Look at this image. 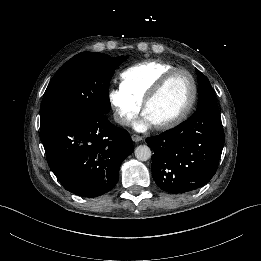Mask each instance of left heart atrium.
<instances>
[{"label":"left heart atrium","instance_id":"left-heart-atrium-1","mask_svg":"<svg viewBox=\"0 0 261 261\" xmlns=\"http://www.w3.org/2000/svg\"><path fill=\"white\" fill-rule=\"evenodd\" d=\"M151 124H153V123L151 122V120L144 114L142 120L139 121V122L136 124V129H138V130H145V129H147Z\"/></svg>","mask_w":261,"mask_h":261}]
</instances>
